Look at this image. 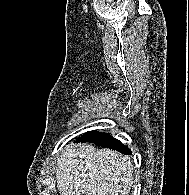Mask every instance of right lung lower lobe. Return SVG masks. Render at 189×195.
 <instances>
[{"instance_id":"98d812e1","label":"right lung lower lobe","mask_w":189,"mask_h":195,"mask_svg":"<svg viewBox=\"0 0 189 195\" xmlns=\"http://www.w3.org/2000/svg\"><path fill=\"white\" fill-rule=\"evenodd\" d=\"M76 143H94L97 146L115 149L124 154H131L128 147L121 144V142L113 138L109 133H102L98 131H89L78 137Z\"/></svg>"}]
</instances>
